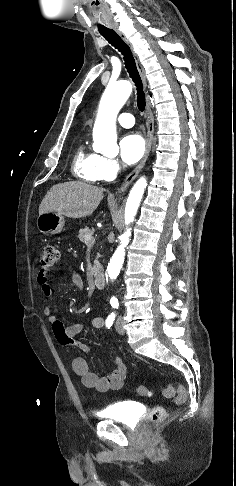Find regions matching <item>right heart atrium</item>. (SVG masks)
I'll return each instance as SVG.
<instances>
[{"label": "right heart atrium", "mask_w": 236, "mask_h": 486, "mask_svg": "<svg viewBox=\"0 0 236 486\" xmlns=\"http://www.w3.org/2000/svg\"><path fill=\"white\" fill-rule=\"evenodd\" d=\"M119 170L120 165L117 160L100 156L97 166L99 180L109 181L118 174Z\"/></svg>", "instance_id": "obj_1"}]
</instances>
